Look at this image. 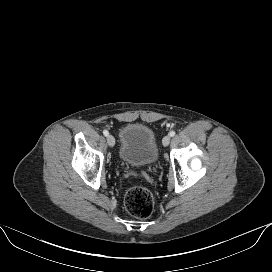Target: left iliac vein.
<instances>
[{
  "mask_svg": "<svg viewBox=\"0 0 272 272\" xmlns=\"http://www.w3.org/2000/svg\"><path fill=\"white\" fill-rule=\"evenodd\" d=\"M170 140H171L170 136H165V137L162 139V144H163L164 146H167V145H169Z\"/></svg>",
  "mask_w": 272,
  "mask_h": 272,
  "instance_id": "1",
  "label": "left iliac vein"
}]
</instances>
